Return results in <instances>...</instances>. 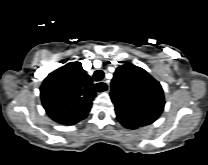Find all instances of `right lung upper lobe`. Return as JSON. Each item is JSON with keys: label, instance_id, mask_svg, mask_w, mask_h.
Segmentation results:
<instances>
[{"label": "right lung upper lobe", "instance_id": "1", "mask_svg": "<svg viewBox=\"0 0 208 165\" xmlns=\"http://www.w3.org/2000/svg\"><path fill=\"white\" fill-rule=\"evenodd\" d=\"M80 62H71L51 72L40 87L48 116L57 123L73 125L85 119L96 92Z\"/></svg>", "mask_w": 208, "mask_h": 165}]
</instances>
